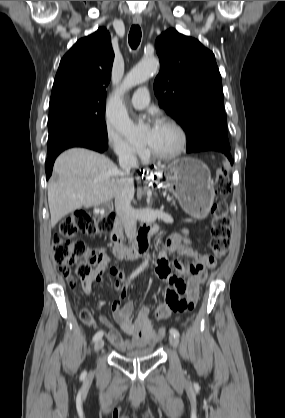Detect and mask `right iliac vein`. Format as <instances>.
<instances>
[{"instance_id": "63e3f726", "label": "right iliac vein", "mask_w": 285, "mask_h": 418, "mask_svg": "<svg viewBox=\"0 0 285 418\" xmlns=\"http://www.w3.org/2000/svg\"><path fill=\"white\" fill-rule=\"evenodd\" d=\"M104 346V340L102 338L98 339L94 345L95 352L100 351Z\"/></svg>"}]
</instances>
